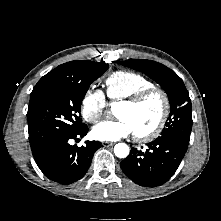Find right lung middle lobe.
<instances>
[{
    "label": "right lung middle lobe",
    "mask_w": 221,
    "mask_h": 221,
    "mask_svg": "<svg viewBox=\"0 0 221 221\" xmlns=\"http://www.w3.org/2000/svg\"><path fill=\"white\" fill-rule=\"evenodd\" d=\"M69 74L34 87L27 112L31 149L84 126L82 100L90 84L108 69L105 62L71 61Z\"/></svg>",
    "instance_id": "1"
}]
</instances>
